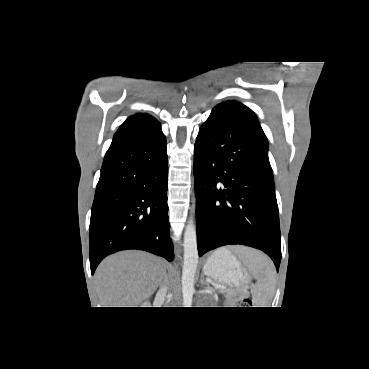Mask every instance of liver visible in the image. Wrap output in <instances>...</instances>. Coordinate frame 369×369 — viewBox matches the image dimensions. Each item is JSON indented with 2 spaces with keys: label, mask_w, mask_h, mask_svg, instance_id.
I'll return each instance as SVG.
<instances>
[{
  "label": "liver",
  "mask_w": 369,
  "mask_h": 369,
  "mask_svg": "<svg viewBox=\"0 0 369 369\" xmlns=\"http://www.w3.org/2000/svg\"><path fill=\"white\" fill-rule=\"evenodd\" d=\"M166 266L162 258L142 251L108 256L95 273L103 307H137L154 294L166 274Z\"/></svg>",
  "instance_id": "1"
}]
</instances>
